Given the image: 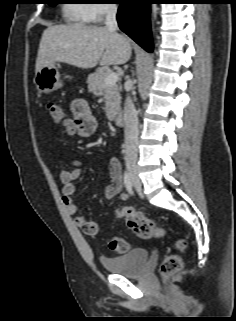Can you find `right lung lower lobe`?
Masks as SVG:
<instances>
[{"mask_svg": "<svg viewBox=\"0 0 236 321\" xmlns=\"http://www.w3.org/2000/svg\"><path fill=\"white\" fill-rule=\"evenodd\" d=\"M114 3L121 4L117 14L120 29L151 52L150 4L154 0H116Z\"/></svg>", "mask_w": 236, "mask_h": 321, "instance_id": "98d812e1", "label": "right lung lower lobe"}]
</instances>
